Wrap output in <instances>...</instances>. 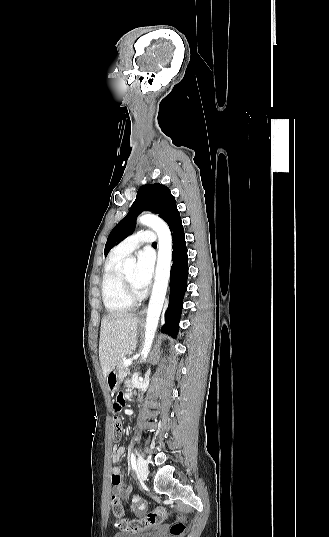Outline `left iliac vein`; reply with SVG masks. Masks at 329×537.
Segmentation results:
<instances>
[{"label": "left iliac vein", "instance_id": "4c4485c4", "mask_svg": "<svg viewBox=\"0 0 329 537\" xmlns=\"http://www.w3.org/2000/svg\"><path fill=\"white\" fill-rule=\"evenodd\" d=\"M138 466V473L142 481H145L148 476V465L147 462L142 458L139 457L137 461Z\"/></svg>", "mask_w": 329, "mask_h": 537}]
</instances>
